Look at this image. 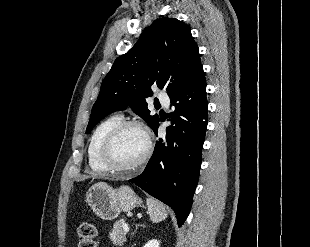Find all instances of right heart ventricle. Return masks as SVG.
Instances as JSON below:
<instances>
[{
	"label": "right heart ventricle",
	"instance_id": "obj_1",
	"mask_svg": "<svg viewBox=\"0 0 310 247\" xmlns=\"http://www.w3.org/2000/svg\"><path fill=\"white\" fill-rule=\"evenodd\" d=\"M120 121H122L121 115L109 116L97 125L90 137L87 150L88 163L90 168L96 173H105L107 171L99 159L100 147L109 131Z\"/></svg>",
	"mask_w": 310,
	"mask_h": 247
}]
</instances>
